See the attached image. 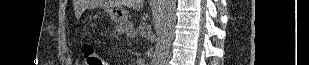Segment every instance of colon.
<instances>
[{"label":"colon","mask_w":309,"mask_h":65,"mask_svg":"<svg viewBox=\"0 0 309 65\" xmlns=\"http://www.w3.org/2000/svg\"><path fill=\"white\" fill-rule=\"evenodd\" d=\"M82 54L85 65H104L103 61L93 46L89 44L83 45Z\"/></svg>","instance_id":"obj_1"}]
</instances>
